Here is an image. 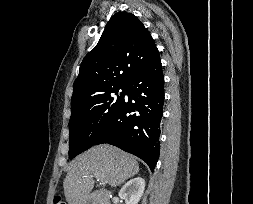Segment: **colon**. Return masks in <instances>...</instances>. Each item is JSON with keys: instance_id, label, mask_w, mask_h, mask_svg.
<instances>
[{"instance_id": "1", "label": "colon", "mask_w": 253, "mask_h": 204, "mask_svg": "<svg viewBox=\"0 0 253 204\" xmlns=\"http://www.w3.org/2000/svg\"><path fill=\"white\" fill-rule=\"evenodd\" d=\"M53 204H66V203L64 202V200L61 197L56 196L54 198Z\"/></svg>"}]
</instances>
